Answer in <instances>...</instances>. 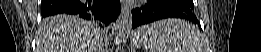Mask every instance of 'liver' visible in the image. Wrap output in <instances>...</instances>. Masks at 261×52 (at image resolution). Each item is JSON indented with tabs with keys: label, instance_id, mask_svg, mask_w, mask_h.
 Wrapping results in <instances>:
<instances>
[{
	"label": "liver",
	"instance_id": "obj_1",
	"mask_svg": "<svg viewBox=\"0 0 261 52\" xmlns=\"http://www.w3.org/2000/svg\"><path fill=\"white\" fill-rule=\"evenodd\" d=\"M101 45L97 26L73 15L43 19L36 35V52H99Z\"/></svg>",
	"mask_w": 261,
	"mask_h": 52
}]
</instances>
